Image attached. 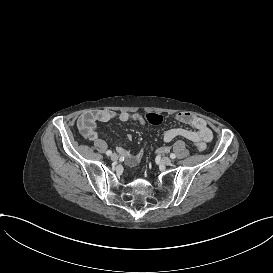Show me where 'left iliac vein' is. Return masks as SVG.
I'll return each mask as SVG.
<instances>
[{
    "mask_svg": "<svg viewBox=\"0 0 273 273\" xmlns=\"http://www.w3.org/2000/svg\"><path fill=\"white\" fill-rule=\"evenodd\" d=\"M161 162H162V164L163 165H166V166H168V165H170L171 164V159L170 158H168V157H164L162 160H161Z\"/></svg>",
    "mask_w": 273,
    "mask_h": 273,
    "instance_id": "obj_1",
    "label": "left iliac vein"
}]
</instances>
